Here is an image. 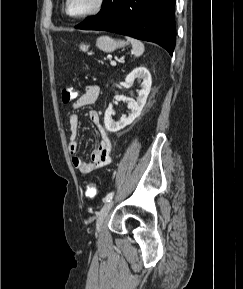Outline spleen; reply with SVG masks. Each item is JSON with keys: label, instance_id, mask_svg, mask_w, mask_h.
<instances>
[{"label": "spleen", "instance_id": "obj_1", "mask_svg": "<svg viewBox=\"0 0 243 289\" xmlns=\"http://www.w3.org/2000/svg\"><path fill=\"white\" fill-rule=\"evenodd\" d=\"M127 40L132 45V53L134 54L135 57H139L144 53L145 47L141 41L131 37H127Z\"/></svg>", "mask_w": 243, "mask_h": 289}]
</instances>
